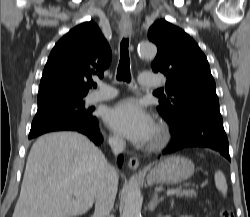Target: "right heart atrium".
Masks as SVG:
<instances>
[{"instance_id":"obj_1","label":"right heart atrium","mask_w":250,"mask_h":217,"mask_svg":"<svg viewBox=\"0 0 250 217\" xmlns=\"http://www.w3.org/2000/svg\"><path fill=\"white\" fill-rule=\"evenodd\" d=\"M110 141L111 143H113L114 145H121L122 144V139L119 135L117 134H112L110 136Z\"/></svg>"}]
</instances>
